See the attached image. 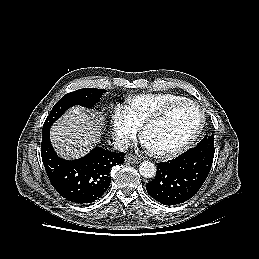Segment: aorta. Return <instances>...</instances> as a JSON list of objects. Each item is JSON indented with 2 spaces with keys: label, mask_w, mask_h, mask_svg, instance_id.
<instances>
[{
  "label": "aorta",
  "mask_w": 259,
  "mask_h": 259,
  "mask_svg": "<svg viewBox=\"0 0 259 259\" xmlns=\"http://www.w3.org/2000/svg\"><path fill=\"white\" fill-rule=\"evenodd\" d=\"M139 172L144 178H153L156 175V166L150 161H143L139 166Z\"/></svg>",
  "instance_id": "762f6f07"
}]
</instances>
